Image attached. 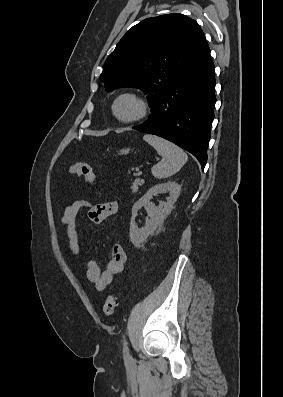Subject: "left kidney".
Returning <instances> with one entry per match:
<instances>
[{
	"label": "left kidney",
	"mask_w": 283,
	"mask_h": 397,
	"mask_svg": "<svg viewBox=\"0 0 283 397\" xmlns=\"http://www.w3.org/2000/svg\"><path fill=\"white\" fill-rule=\"evenodd\" d=\"M181 186L176 182H166L157 184L150 188L143 197H141L132 207V218L130 221V240L134 246H139L155 232V230L163 223L164 219L171 213L174 203L180 195ZM169 192L166 202L156 207L151 203L153 196L159 193ZM145 207L149 215V219L143 227L138 228L135 222L138 211Z\"/></svg>",
	"instance_id": "left-kidney-1"
}]
</instances>
